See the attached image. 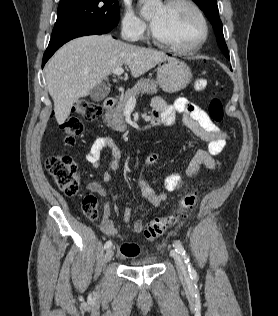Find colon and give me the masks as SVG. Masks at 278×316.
<instances>
[{
    "label": "colon",
    "mask_w": 278,
    "mask_h": 316,
    "mask_svg": "<svg viewBox=\"0 0 278 316\" xmlns=\"http://www.w3.org/2000/svg\"><path fill=\"white\" fill-rule=\"evenodd\" d=\"M206 79H197L194 82L196 91H203L207 87ZM209 115L216 121L223 119V105L220 99L213 98L209 104ZM100 109L87 100H80L73 108L71 115L61 124L64 131V144L72 146L76 138L83 131L82 118L88 121L99 117ZM46 169L58 186V188L68 197L76 196L80 191V180L78 166L73 158L68 154L54 155L47 158L45 162ZM197 195L195 192L185 194L179 202V213L173 216L157 217L153 219L145 228L144 235L147 240L154 241L159 238L177 219L187 214L196 204ZM82 209L84 214L91 220H98L100 213L98 202L94 195L86 194L82 200ZM121 253L126 257L136 256L139 253V247L135 243H124L121 246Z\"/></svg>",
    "instance_id": "5ec220e1"
}]
</instances>
